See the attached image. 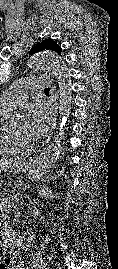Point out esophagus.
I'll return each instance as SVG.
<instances>
[{
    "instance_id": "1",
    "label": "esophagus",
    "mask_w": 118,
    "mask_h": 269,
    "mask_svg": "<svg viewBox=\"0 0 118 269\" xmlns=\"http://www.w3.org/2000/svg\"><path fill=\"white\" fill-rule=\"evenodd\" d=\"M44 75L46 76V78L49 80L50 83V94H51V100H52V114H51V121H50V129H49V133L47 135V138L42 142V144L39 146V148L36 150V154H40L42 153L48 143L50 142L52 135L54 133L55 127H56V120H57V107H58V97L56 94V86L54 84V80L52 77V74L50 73V71H45Z\"/></svg>"
}]
</instances>
